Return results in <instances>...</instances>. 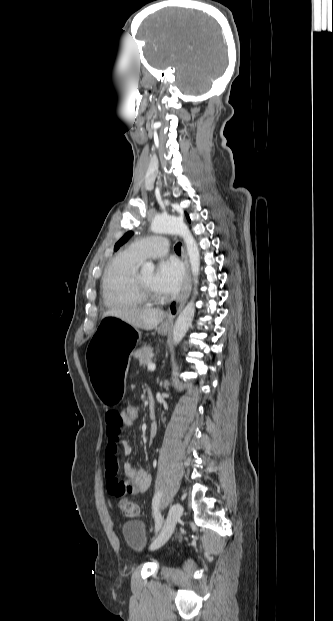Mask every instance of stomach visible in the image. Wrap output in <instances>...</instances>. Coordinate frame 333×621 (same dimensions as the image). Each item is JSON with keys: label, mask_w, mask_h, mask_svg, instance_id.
<instances>
[{"label": "stomach", "mask_w": 333, "mask_h": 621, "mask_svg": "<svg viewBox=\"0 0 333 621\" xmlns=\"http://www.w3.org/2000/svg\"><path fill=\"white\" fill-rule=\"evenodd\" d=\"M140 338V330L128 324L125 317L108 316L87 344L86 373L107 412H116L124 399L128 357Z\"/></svg>", "instance_id": "0dacf381"}]
</instances>
